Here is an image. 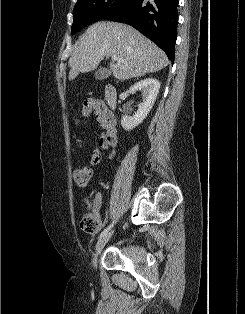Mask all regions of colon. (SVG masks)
I'll use <instances>...</instances> for the list:
<instances>
[{"mask_svg":"<svg viewBox=\"0 0 245 314\" xmlns=\"http://www.w3.org/2000/svg\"><path fill=\"white\" fill-rule=\"evenodd\" d=\"M92 171L87 164H81L73 171V180L78 188H86L91 180ZM89 206L93 204L89 201ZM80 227L86 232H94L100 227V216L96 211L87 212L80 219Z\"/></svg>","mask_w":245,"mask_h":314,"instance_id":"1","label":"colon"}]
</instances>
